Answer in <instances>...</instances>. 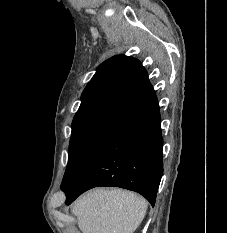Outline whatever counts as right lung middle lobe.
<instances>
[{
    "label": "right lung middle lobe",
    "instance_id": "obj_1",
    "mask_svg": "<svg viewBox=\"0 0 227 233\" xmlns=\"http://www.w3.org/2000/svg\"><path fill=\"white\" fill-rule=\"evenodd\" d=\"M118 135L87 131L72 133L69 144V160L61 184L63 191L70 189L101 153Z\"/></svg>",
    "mask_w": 227,
    "mask_h": 233
}]
</instances>
